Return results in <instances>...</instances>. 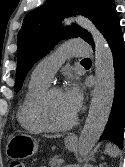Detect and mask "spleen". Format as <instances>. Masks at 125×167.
<instances>
[{
    "mask_svg": "<svg viewBox=\"0 0 125 167\" xmlns=\"http://www.w3.org/2000/svg\"><path fill=\"white\" fill-rule=\"evenodd\" d=\"M104 152L107 153L111 157H117L120 154L119 149L110 143L106 145Z\"/></svg>",
    "mask_w": 125,
    "mask_h": 167,
    "instance_id": "3e777b00",
    "label": "spleen"
}]
</instances>
